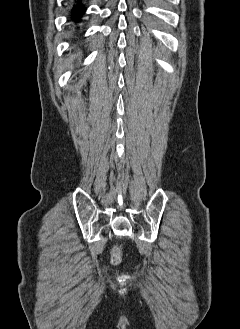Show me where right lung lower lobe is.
<instances>
[{
    "mask_svg": "<svg viewBox=\"0 0 240 329\" xmlns=\"http://www.w3.org/2000/svg\"><path fill=\"white\" fill-rule=\"evenodd\" d=\"M85 11H86V7L82 4L81 0H77L71 10L72 21L80 22Z\"/></svg>",
    "mask_w": 240,
    "mask_h": 329,
    "instance_id": "1",
    "label": "right lung lower lobe"
}]
</instances>
